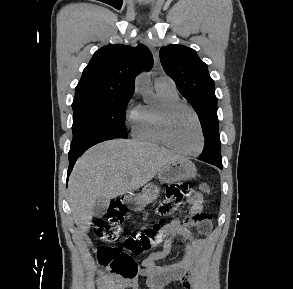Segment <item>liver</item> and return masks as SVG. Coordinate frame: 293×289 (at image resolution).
I'll use <instances>...</instances> for the list:
<instances>
[{
  "instance_id": "6515ba94",
  "label": "liver",
  "mask_w": 293,
  "mask_h": 289,
  "mask_svg": "<svg viewBox=\"0 0 293 289\" xmlns=\"http://www.w3.org/2000/svg\"><path fill=\"white\" fill-rule=\"evenodd\" d=\"M181 159L171 151L146 142L115 139L87 150L70 175L68 194L75 224L87 231L93 206L147 184L167 163Z\"/></svg>"
}]
</instances>
